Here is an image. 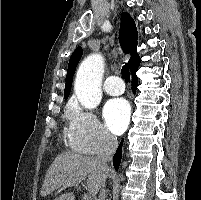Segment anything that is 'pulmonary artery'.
Masks as SVG:
<instances>
[{"label": "pulmonary artery", "mask_w": 201, "mask_h": 200, "mask_svg": "<svg viewBox=\"0 0 201 200\" xmlns=\"http://www.w3.org/2000/svg\"><path fill=\"white\" fill-rule=\"evenodd\" d=\"M124 89V83L122 79L117 75H111L105 81L104 90L109 95H121L124 92Z\"/></svg>", "instance_id": "1"}]
</instances>
